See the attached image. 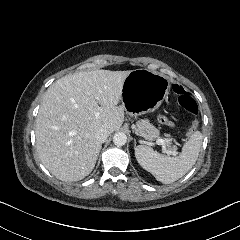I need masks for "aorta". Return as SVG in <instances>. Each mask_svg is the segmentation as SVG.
<instances>
[{"label":"aorta","mask_w":240,"mask_h":240,"mask_svg":"<svg viewBox=\"0 0 240 240\" xmlns=\"http://www.w3.org/2000/svg\"><path fill=\"white\" fill-rule=\"evenodd\" d=\"M127 142V136L123 132H117L113 136V143L117 146H123Z\"/></svg>","instance_id":"1"}]
</instances>
